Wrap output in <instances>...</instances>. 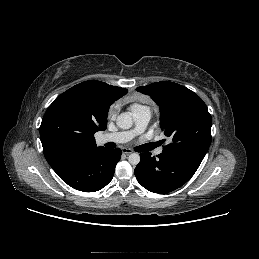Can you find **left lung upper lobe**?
I'll list each match as a JSON object with an SVG mask.
<instances>
[{"label": "left lung upper lobe", "instance_id": "5c2ea615", "mask_svg": "<svg viewBox=\"0 0 259 259\" xmlns=\"http://www.w3.org/2000/svg\"><path fill=\"white\" fill-rule=\"evenodd\" d=\"M161 110L160 126L172 142L163 152L204 158L211 144L212 118L202 99L188 88L168 81L136 88Z\"/></svg>", "mask_w": 259, "mask_h": 259}]
</instances>
